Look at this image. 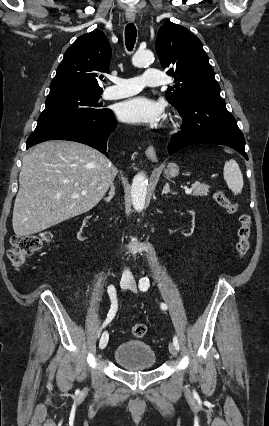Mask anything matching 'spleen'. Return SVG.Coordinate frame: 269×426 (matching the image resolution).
Listing matches in <instances>:
<instances>
[{"label":"spleen","instance_id":"obj_1","mask_svg":"<svg viewBox=\"0 0 269 426\" xmlns=\"http://www.w3.org/2000/svg\"><path fill=\"white\" fill-rule=\"evenodd\" d=\"M223 176L228 188L234 195H238L242 192L244 184L243 175L235 160L230 159L225 162Z\"/></svg>","mask_w":269,"mask_h":426}]
</instances>
